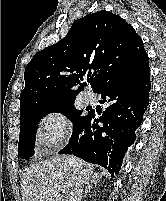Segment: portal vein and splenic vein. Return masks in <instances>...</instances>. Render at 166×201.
I'll return each instance as SVG.
<instances>
[{"instance_id":"18ae733b","label":"portal vein and splenic vein","mask_w":166,"mask_h":201,"mask_svg":"<svg viewBox=\"0 0 166 201\" xmlns=\"http://www.w3.org/2000/svg\"><path fill=\"white\" fill-rule=\"evenodd\" d=\"M55 197H56V198H59V195H58V194H55Z\"/></svg>"}]
</instances>
